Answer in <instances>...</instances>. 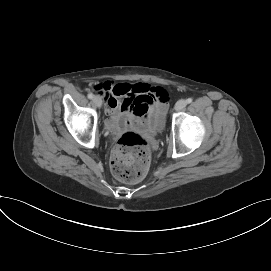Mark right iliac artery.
Wrapping results in <instances>:
<instances>
[{"mask_svg": "<svg viewBox=\"0 0 271 271\" xmlns=\"http://www.w3.org/2000/svg\"><path fill=\"white\" fill-rule=\"evenodd\" d=\"M88 98H89V99H93V98H94V95H93L92 93H89V94H88Z\"/></svg>", "mask_w": 271, "mask_h": 271, "instance_id": "right-iliac-artery-1", "label": "right iliac artery"}]
</instances>
